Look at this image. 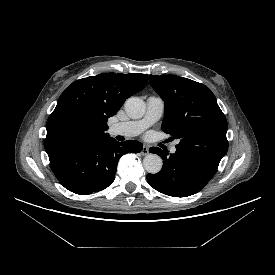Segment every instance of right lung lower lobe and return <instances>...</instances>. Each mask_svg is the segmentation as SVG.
I'll use <instances>...</instances> for the list:
<instances>
[{"mask_svg": "<svg viewBox=\"0 0 275 275\" xmlns=\"http://www.w3.org/2000/svg\"><path fill=\"white\" fill-rule=\"evenodd\" d=\"M143 149L138 141L124 143L113 138L95 141L49 155L58 181L69 191L88 195L112 184L120 157Z\"/></svg>", "mask_w": 275, "mask_h": 275, "instance_id": "98d812e1", "label": "right lung lower lobe"}]
</instances>
